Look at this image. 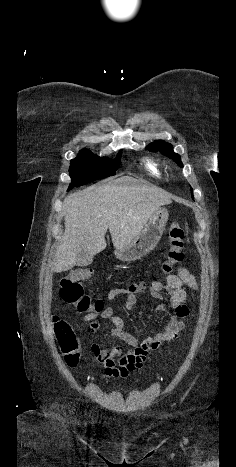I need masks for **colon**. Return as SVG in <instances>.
Returning <instances> with one entry per match:
<instances>
[{
  "label": "colon",
  "mask_w": 236,
  "mask_h": 467,
  "mask_svg": "<svg viewBox=\"0 0 236 467\" xmlns=\"http://www.w3.org/2000/svg\"><path fill=\"white\" fill-rule=\"evenodd\" d=\"M169 243L161 269L165 274H170L173 268L184 259L183 247L185 233L182 226L173 221L168 227ZM93 275V269L81 267L75 269L60 281L59 295L68 306H72L77 312L100 313L104 310V302L101 299L92 300L84 292L82 281ZM56 339L64 356L66 364L70 367L78 365L81 357L82 342L73 327L65 320L56 317L54 319Z\"/></svg>",
  "instance_id": "colon-1"
}]
</instances>
